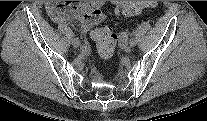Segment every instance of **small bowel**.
Returning <instances> with one entry per match:
<instances>
[{
    "label": "small bowel",
    "instance_id": "1",
    "mask_svg": "<svg viewBox=\"0 0 207 121\" xmlns=\"http://www.w3.org/2000/svg\"><path fill=\"white\" fill-rule=\"evenodd\" d=\"M102 6L101 1H46L45 3L46 12L54 22L78 23L82 31H88L103 20Z\"/></svg>",
    "mask_w": 207,
    "mask_h": 121
}]
</instances>
